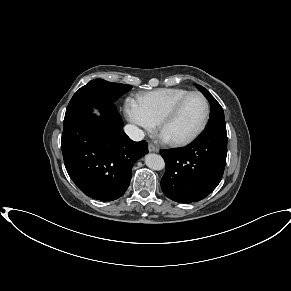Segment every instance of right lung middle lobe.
<instances>
[{"instance_id": "obj_1", "label": "right lung middle lobe", "mask_w": 291, "mask_h": 291, "mask_svg": "<svg viewBox=\"0 0 291 291\" xmlns=\"http://www.w3.org/2000/svg\"><path fill=\"white\" fill-rule=\"evenodd\" d=\"M132 88L130 85L94 79L81 87L72 97L66 109L64 121L81 120L91 113L92 108L100 109L115 102Z\"/></svg>"}]
</instances>
